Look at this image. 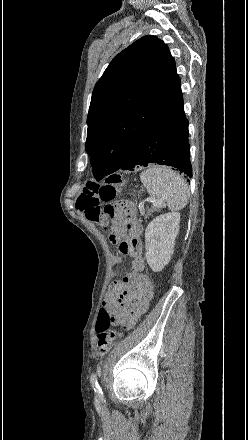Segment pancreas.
Here are the masks:
<instances>
[{
  "label": "pancreas",
  "mask_w": 248,
  "mask_h": 440,
  "mask_svg": "<svg viewBox=\"0 0 248 440\" xmlns=\"http://www.w3.org/2000/svg\"><path fill=\"white\" fill-rule=\"evenodd\" d=\"M159 210L158 207H151L150 209L147 210V214H145V211L142 210L141 215H143L145 218L148 217V215H150L152 212Z\"/></svg>",
  "instance_id": "cf45deb5"
}]
</instances>
